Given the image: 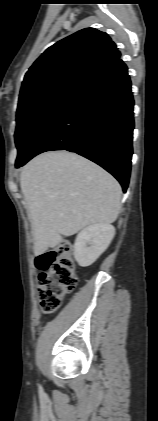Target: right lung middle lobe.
<instances>
[{"label":"right lung middle lobe","instance_id":"1","mask_svg":"<svg viewBox=\"0 0 158 421\" xmlns=\"http://www.w3.org/2000/svg\"><path fill=\"white\" fill-rule=\"evenodd\" d=\"M82 86L78 83H60L19 99L15 131L18 149L16 166L28 157L40 134Z\"/></svg>","mask_w":158,"mask_h":421}]
</instances>
